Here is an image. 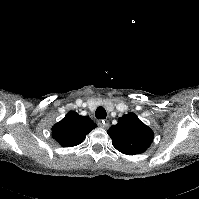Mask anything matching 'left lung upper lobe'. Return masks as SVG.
Returning a JSON list of instances; mask_svg holds the SVG:
<instances>
[{"mask_svg":"<svg viewBox=\"0 0 199 199\" xmlns=\"http://www.w3.org/2000/svg\"><path fill=\"white\" fill-rule=\"evenodd\" d=\"M113 146L123 154L135 155L144 152L152 143L154 133L133 112L119 118L108 131Z\"/></svg>","mask_w":199,"mask_h":199,"instance_id":"1","label":"left lung upper lobe"}]
</instances>
